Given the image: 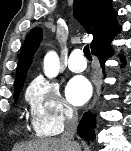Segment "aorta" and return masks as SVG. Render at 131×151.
I'll use <instances>...</instances> for the list:
<instances>
[{"mask_svg":"<svg viewBox=\"0 0 131 151\" xmlns=\"http://www.w3.org/2000/svg\"><path fill=\"white\" fill-rule=\"evenodd\" d=\"M44 71L46 76L54 77L59 72V58L55 52H49L44 59Z\"/></svg>","mask_w":131,"mask_h":151,"instance_id":"762f6f07","label":"aorta"}]
</instances>
